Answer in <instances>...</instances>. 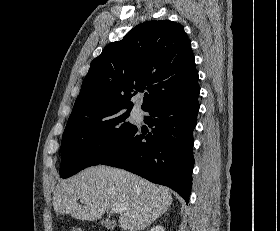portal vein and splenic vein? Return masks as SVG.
<instances>
[{
	"instance_id": "obj_1",
	"label": "portal vein and splenic vein",
	"mask_w": 280,
	"mask_h": 231,
	"mask_svg": "<svg viewBox=\"0 0 280 231\" xmlns=\"http://www.w3.org/2000/svg\"><path fill=\"white\" fill-rule=\"evenodd\" d=\"M113 211H115V213H120V211H122V207H113Z\"/></svg>"
}]
</instances>
